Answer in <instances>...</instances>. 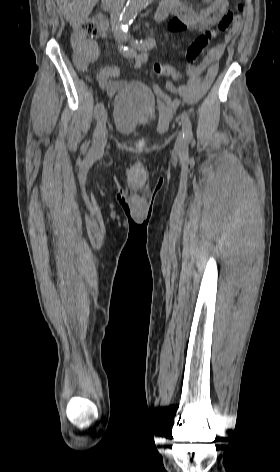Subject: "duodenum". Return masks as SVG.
<instances>
[{
  "label": "duodenum",
  "instance_id": "1",
  "mask_svg": "<svg viewBox=\"0 0 280 472\" xmlns=\"http://www.w3.org/2000/svg\"><path fill=\"white\" fill-rule=\"evenodd\" d=\"M115 0H102V7L105 11H111L114 6ZM169 14L168 9L160 5L155 13V20L162 21L164 20Z\"/></svg>",
  "mask_w": 280,
  "mask_h": 472
}]
</instances>
